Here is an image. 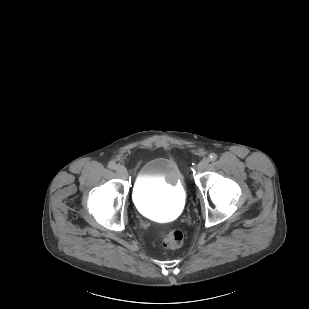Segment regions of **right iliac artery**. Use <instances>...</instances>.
<instances>
[{
  "label": "right iliac artery",
  "instance_id": "obj_1",
  "mask_svg": "<svg viewBox=\"0 0 309 309\" xmlns=\"http://www.w3.org/2000/svg\"><path fill=\"white\" fill-rule=\"evenodd\" d=\"M108 168L115 170L117 168V164L111 161L108 163Z\"/></svg>",
  "mask_w": 309,
  "mask_h": 309
}]
</instances>
